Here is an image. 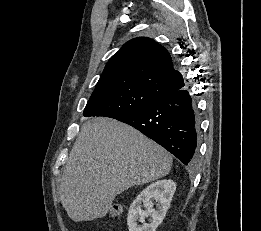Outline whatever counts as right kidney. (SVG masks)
I'll return each instance as SVG.
<instances>
[{
	"mask_svg": "<svg viewBox=\"0 0 261 231\" xmlns=\"http://www.w3.org/2000/svg\"><path fill=\"white\" fill-rule=\"evenodd\" d=\"M176 190V183L172 180H159L145 188L133 201L129 208L127 225L129 231H156L162 223L170 202ZM155 201L157 209H154ZM143 203L145 211L141 209ZM150 216V222L145 223V218ZM137 221L142 225H137Z\"/></svg>",
	"mask_w": 261,
	"mask_h": 231,
	"instance_id": "1",
	"label": "right kidney"
}]
</instances>
